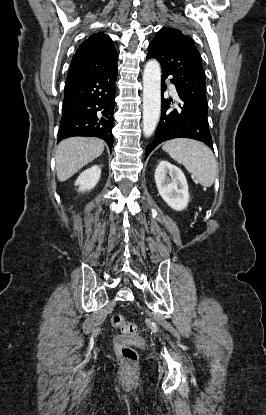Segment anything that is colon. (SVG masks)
Here are the masks:
<instances>
[{
    "label": "colon",
    "mask_w": 266,
    "mask_h": 415,
    "mask_svg": "<svg viewBox=\"0 0 266 415\" xmlns=\"http://www.w3.org/2000/svg\"><path fill=\"white\" fill-rule=\"evenodd\" d=\"M114 328L120 330L125 335L134 334L137 330L135 323L127 321L123 315L115 313L110 318ZM115 352L121 361L127 364H135L138 361V353L132 347L123 342H117Z\"/></svg>",
    "instance_id": "5ec220e1"
}]
</instances>
